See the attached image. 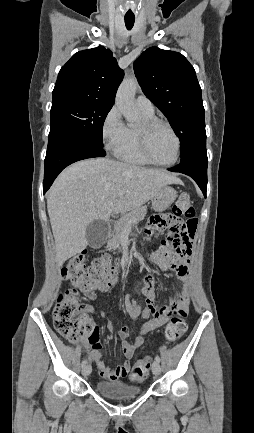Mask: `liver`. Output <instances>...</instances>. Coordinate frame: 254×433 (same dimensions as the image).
Masks as SVG:
<instances>
[{"label": "liver", "mask_w": 254, "mask_h": 433, "mask_svg": "<svg viewBox=\"0 0 254 433\" xmlns=\"http://www.w3.org/2000/svg\"><path fill=\"white\" fill-rule=\"evenodd\" d=\"M180 180L160 169H147L108 158L87 159L66 168L49 190L47 209L58 266L87 246L86 229L94 220L131 211ZM124 192L118 197L119 192Z\"/></svg>", "instance_id": "1"}]
</instances>
